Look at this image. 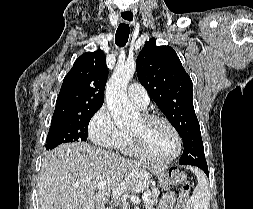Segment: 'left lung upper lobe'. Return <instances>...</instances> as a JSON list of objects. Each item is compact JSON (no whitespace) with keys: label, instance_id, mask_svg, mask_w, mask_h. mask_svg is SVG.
Returning <instances> with one entry per match:
<instances>
[{"label":"left lung upper lobe","instance_id":"obj_1","mask_svg":"<svg viewBox=\"0 0 253 209\" xmlns=\"http://www.w3.org/2000/svg\"><path fill=\"white\" fill-rule=\"evenodd\" d=\"M137 76L154 102L183 139L180 164L206 161L200 126L193 106V84L176 52L149 39L140 51Z\"/></svg>","mask_w":253,"mask_h":209}]
</instances>
